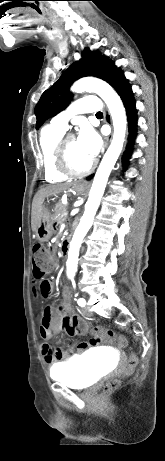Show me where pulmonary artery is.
<instances>
[{"label":"pulmonary artery","mask_w":165,"mask_h":461,"mask_svg":"<svg viewBox=\"0 0 165 461\" xmlns=\"http://www.w3.org/2000/svg\"><path fill=\"white\" fill-rule=\"evenodd\" d=\"M102 105L97 97H85L73 102L66 110L57 114L51 120V124L63 131L68 128V120L78 113H96Z\"/></svg>","instance_id":"pulmonary-artery-1"}]
</instances>
